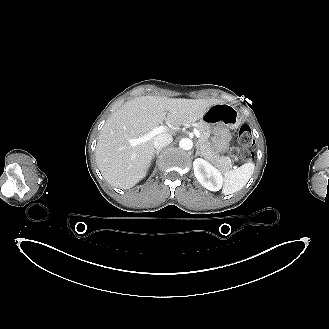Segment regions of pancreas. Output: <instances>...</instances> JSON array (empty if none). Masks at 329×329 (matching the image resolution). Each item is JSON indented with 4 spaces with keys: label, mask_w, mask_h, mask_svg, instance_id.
Wrapping results in <instances>:
<instances>
[{
    "label": "pancreas",
    "mask_w": 329,
    "mask_h": 329,
    "mask_svg": "<svg viewBox=\"0 0 329 329\" xmlns=\"http://www.w3.org/2000/svg\"><path fill=\"white\" fill-rule=\"evenodd\" d=\"M195 127L201 133L197 144L202 152V156L218 167L221 171L231 168L232 164L230 158L221 156L218 151L213 149L211 143L209 142L212 132L210 126L205 122H198L195 124Z\"/></svg>",
    "instance_id": "cf45deb5"
}]
</instances>
